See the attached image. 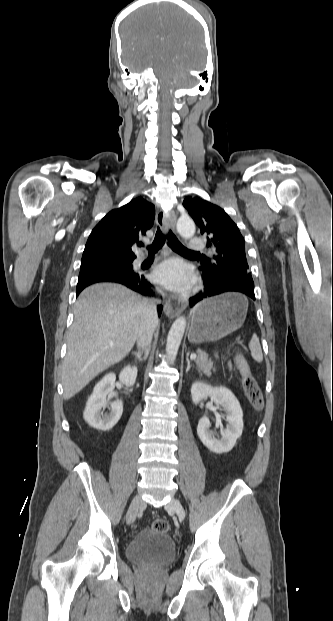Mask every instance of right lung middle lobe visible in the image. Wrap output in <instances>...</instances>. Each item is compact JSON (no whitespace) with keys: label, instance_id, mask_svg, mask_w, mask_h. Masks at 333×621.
<instances>
[{"label":"right lung middle lobe","instance_id":"dd1d6c3e","mask_svg":"<svg viewBox=\"0 0 333 621\" xmlns=\"http://www.w3.org/2000/svg\"><path fill=\"white\" fill-rule=\"evenodd\" d=\"M132 257H113V258H86L81 260L80 269L95 267H113L118 269H132Z\"/></svg>","mask_w":333,"mask_h":621}]
</instances>
